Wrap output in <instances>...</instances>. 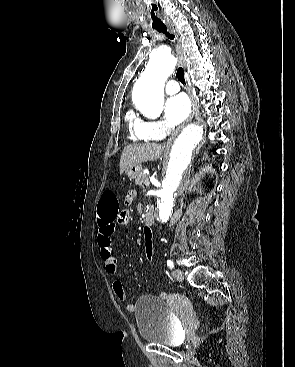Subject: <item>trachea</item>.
Segmentation results:
<instances>
[{
    "label": "trachea",
    "mask_w": 295,
    "mask_h": 367,
    "mask_svg": "<svg viewBox=\"0 0 295 367\" xmlns=\"http://www.w3.org/2000/svg\"><path fill=\"white\" fill-rule=\"evenodd\" d=\"M155 29L159 32V33H163L164 35H166L169 39L173 40L175 37L173 34H171L168 30L166 26H162V27H155ZM176 76L178 78V80L182 83L185 84V78H184V70L182 67H179L177 69V73Z\"/></svg>",
    "instance_id": "obj_1"
}]
</instances>
